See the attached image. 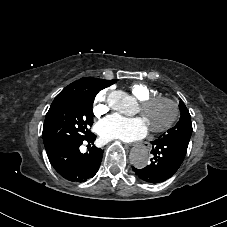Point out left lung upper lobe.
Instances as JSON below:
<instances>
[{
    "label": "left lung upper lobe",
    "mask_w": 227,
    "mask_h": 227,
    "mask_svg": "<svg viewBox=\"0 0 227 227\" xmlns=\"http://www.w3.org/2000/svg\"><path fill=\"white\" fill-rule=\"evenodd\" d=\"M179 108L181 111V117L178 123L168 130L167 133H163L159 138L177 139L182 142L189 143L192 134L191 116L185 104L180 101Z\"/></svg>",
    "instance_id": "left-lung-upper-lobe-1"
}]
</instances>
